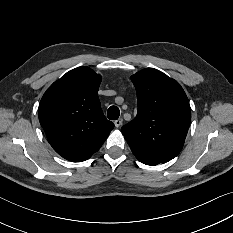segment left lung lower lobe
Masks as SVG:
<instances>
[{"mask_svg":"<svg viewBox=\"0 0 233 233\" xmlns=\"http://www.w3.org/2000/svg\"><path fill=\"white\" fill-rule=\"evenodd\" d=\"M131 150L133 152V154L136 156V158L144 163V164H147V165H157L159 163H166L168 162L167 160L161 158V157H157V156H154L152 154H149V153H146L136 147H131Z\"/></svg>","mask_w":233,"mask_h":233,"instance_id":"left-lung-lower-lobe-1","label":"left lung lower lobe"}]
</instances>
